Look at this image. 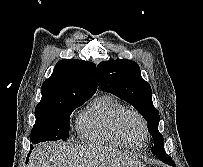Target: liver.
I'll return each instance as SVG.
<instances>
[{
  "mask_svg": "<svg viewBox=\"0 0 203 167\" xmlns=\"http://www.w3.org/2000/svg\"><path fill=\"white\" fill-rule=\"evenodd\" d=\"M28 167H144L136 158L95 146L48 142L35 149Z\"/></svg>",
  "mask_w": 203,
  "mask_h": 167,
  "instance_id": "liver-1",
  "label": "liver"
}]
</instances>
